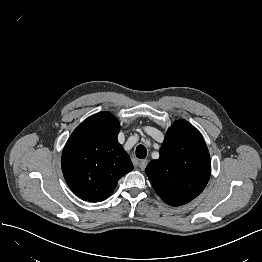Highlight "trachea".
<instances>
[{
  "mask_svg": "<svg viewBox=\"0 0 262 262\" xmlns=\"http://www.w3.org/2000/svg\"><path fill=\"white\" fill-rule=\"evenodd\" d=\"M147 155V149L144 145H138L136 147V157L140 159H144Z\"/></svg>",
  "mask_w": 262,
  "mask_h": 262,
  "instance_id": "obj_1",
  "label": "trachea"
}]
</instances>
